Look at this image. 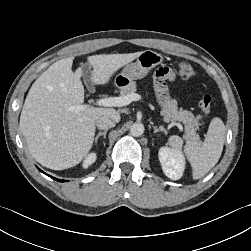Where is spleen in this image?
I'll return each mask as SVG.
<instances>
[{
  "instance_id": "1",
  "label": "spleen",
  "mask_w": 251,
  "mask_h": 251,
  "mask_svg": "<svg viewBox=\"0 0 251 251\" xmlns=\"http://www.w3.org/2000/svg\"><path fill=\"white\" fill-rule=\"evenodd\" d=\"M225 142V125L219 117L211 120L204 142L187 141L184 152L192 166L193 179H200L218 162ZM167 144L181 150L183 139L177 135L169 137Z\"/></svg>"
}]
</instances>
